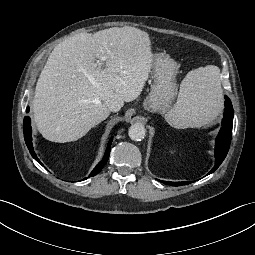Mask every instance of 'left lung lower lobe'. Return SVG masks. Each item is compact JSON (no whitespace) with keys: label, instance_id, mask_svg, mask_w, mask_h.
<instances>
[{"label":"left lung lower lobe","instance_id":"1","mask_svg":"<svg viewBox=\"0 0 255 255\" xmlns=\"http://www.w3.org/2000/svg\"><path fill=\"white\" fill-rule=\"evenodd\" d=\"M225 110H224V117L222 120V128L218 134V137L216 138V146H215V166L212 168V170L208 173H213L223 162L225 159L230 143H231V137H232V123H233V107L231 104L230 99L225 96ZM164 184L171 185V186H181L185 184H190L191 182H169V181H161Z\"/></svg>","mask_w":255,"mask_h":255}]
</instances>
